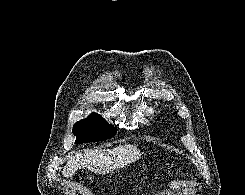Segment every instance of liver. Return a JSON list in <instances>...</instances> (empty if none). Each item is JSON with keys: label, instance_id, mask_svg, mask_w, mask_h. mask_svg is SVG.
Masks as SVG:
<instances>
[{"label": "liver", "instance_id": "obj_1", "mask_svg": "<svg viewBox=\"0 0 245 195\" xmlns=\"http://www.w3.org/2000/svg\"><path fill=\"white\" fill-rule=\"evenodd\" d=\"M140 157L141 152L134 144L76 154L67 161L63 175L66 178L72 177L77 170L83 168H88L95 174H105L123 168Z\"/></svg>", "mask_w": 245, "mask_h": 195}]
</instances>
